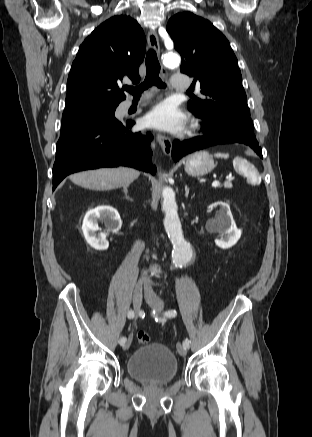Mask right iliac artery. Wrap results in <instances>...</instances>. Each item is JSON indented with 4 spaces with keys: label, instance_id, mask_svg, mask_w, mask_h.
I'll return each mask as SVG.
<instances>
[{
    "label": "right iliac artery",
    "instance_id": "1",
    "mask_svg": "<svg viewBox=\"0 0 312 437\" xmlns=\"http://www.w3.org/2000/svg\"><path fill=\"white\" fill-rule=\"evenodd\" d=\"M134 316H135L134 311H132V310L128 311V318L132 319V318H134ZM125 342H126V338L125 337H121L120 340H119V343L121 345H123Z\"/></svg>",
    "mask_w": 312,
    "mask_h": 437
}]
</instances>
